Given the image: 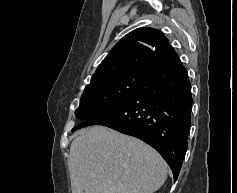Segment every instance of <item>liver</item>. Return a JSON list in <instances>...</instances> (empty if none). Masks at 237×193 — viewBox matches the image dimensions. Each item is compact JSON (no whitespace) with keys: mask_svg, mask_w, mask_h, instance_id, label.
I'll return each instance as SVG.
<instances>
[{"mask_svg":"<svg viewBox=\"0 0 237 193\" xmlns=\"http://www.w3.org/2000/svg\"><path fill=\"white\" fill-rule=\"evenodd\" d=\"M72 193H154L167 165L141 140L104 126L81 131L69 155Z\"/></svg>","mask_w":237,"mask_h":193,"instance_id":"obj_1","label":"liver"}]
</instances>
